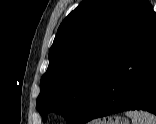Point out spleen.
<instances>
[{
  "label": "spleen",
  "instance_id": "obj_1",
  "mask_svg": "<svg viewBox=\"0 0 156 124\" xmlns=\"http://www.w3.org/2000/svg\"><path fill=\"white\" fill-rule=\"evenodd\" d=\"M125 114L133 124H156V116L145 111H127Z\"/></svg>",
  "mask_w": 156,
  "mask_h": 124
}]
</instances>
